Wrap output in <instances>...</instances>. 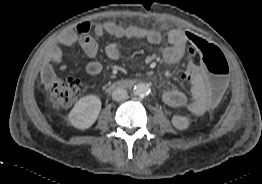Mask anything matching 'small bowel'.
<instances>
[{
    "label": "small bowel",
    "mask_w": 262,
    "mask_h": 184,
    "mask_svg": "<svg viewBox=\"0 0 262 184\" xmlns=\"http://www.w3.org/2000/svg\"><path fill=\"white\" fill-rule=\"evenodd\" d=\"M90 30V22H81L75 29L60 34L57 38V43L61 46H70L76 42L79 43L85 54L91 58V61L86 65V72L89 75L95 76L101 73L103 67L101 62L95 59L98 54V45L89 35ZM94 33L98 37L110 34L118 38L141 40L154 45L159 44L162 39L160 32L154 29L139 26L115 27L112 23L95 25ZM190 33L193 32L179 29L170 30L167 34L169 44L163 49L162 54L167 64H176L188 54L186 57L188 66L176 70L174 77L182 81L186 87H191L193 80H195L192 95L188 97L180 90H168L163 94V101L171 107H185L195 115H202L212 108L217 103V100L214 101L208 97L209 85L202 75L203 66L196 57L197 53L194 51L193 45L187 44L186 41ZM203 41L206 42L204 39ZM105 53L109 59L119 60L122 56L120 44L117 42L108 44L105 48ZM62 57V50L58 46L52 48L47 55L46 72L53 73L54 67L64 69V65L61 63Z\"/></svg>",
    "instance_id": "obj_1"
}]
</instances>
